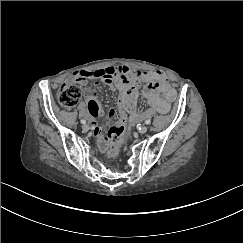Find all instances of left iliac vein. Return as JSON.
I'll return each instance as SVG.
<instances>
[{
	"label": "left iliac vein",
	"instance_id": "obj_1",
	"mask_svg": "<svg viewBox=\"0 0 243 243\" xmlns=\"http://www.w3.org/2000/svg\"><path fill=\"white\" fill-rule=\"evenodd\" d=\"M147 130H148L147 126H142V127L139 128V133L144 134V133L147 132Z\"/></svg>",
	"mask_w": 243,
	"mask_h": 243
}]
</instances>
